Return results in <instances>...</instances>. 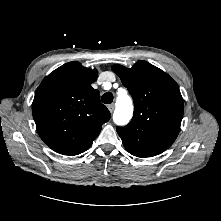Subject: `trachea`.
Here are the masks:
<instances>
[{"instance_id":"1","label":"trachea","mask_w":221,"mask_h":221,"mask_svg":"<svg viewBox=\"0 0 221 221\" xmlns=\"http://www.w3.org/2000/svg\"><path fill=\"white\" fill-rule=\"evenodd\" d=\"M101 100L104 104H110L113 102V94L111 92H106L102 95Z\"/></svg>"}]
</instances>
